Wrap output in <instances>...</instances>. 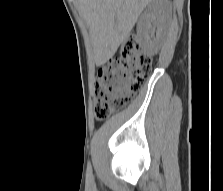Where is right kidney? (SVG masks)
I'll use <instances>...</instances> for the list:
<instances>
[{"label":"right kidney","mask_w":223,"mask_h":191,"mask_svg":"<svg viewBox=\"0 0 223 191\" xmlns=\"http://www.w3.org/2000/svg\"><path fill=\"white\" fill-rule=\"evenodd\" d=\"M167 0L151 2L137 24L138 43L149 55H155L160 47L167 23Z\"/></svg>","instance_id":"ca27d5eb"}]
</instances>
